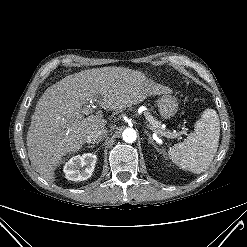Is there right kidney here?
<instances>
[{"mask_svg":"<svg viewBox=\"0 0 247 247\" xmlns=\"http://www.w3.org/2000/svg\"><path fill=\"white\" fill-rule=\"evenodd\" d=\"M96 161L97 156L92 153L73 156L64 166L66 178L71 181L87 180L94 171Z\"/></svg>","mask_w":247,"mask_h":247,"instance_id":"1","label":"right kidney"}]
</instances>
